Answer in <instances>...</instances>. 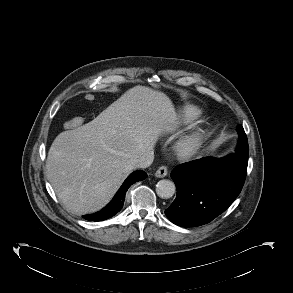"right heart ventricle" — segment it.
I'll list each match as a JSON object with an SVG mask.
<instances>
[{
    "instance_id": "1",
    "label": "right heart ventricle",
    "mask_w": 293,
    "mask_h": 293,
    "mask_svg": "<svg viewBox=\"0 0 293 293\" xmlns=\"http://www.w3.org/2000/svg\"><path fill=\"white\" fill-rule=\"evenodd\" d=\"M201 114L202 110L198 106H183L178 112L176 124L185 125L192 123L193 121L198 119L201 116Z\"/></svg>"
}]
</instances>
